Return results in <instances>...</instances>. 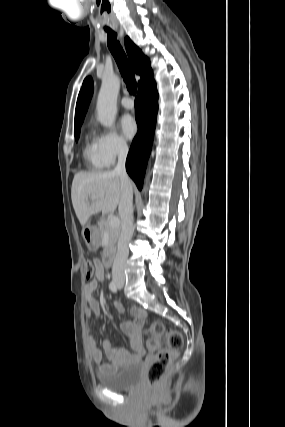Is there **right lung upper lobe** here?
Returning a JSON list of instances; mask_svg holds the SVG:
<instances>
[{
  "instance_id": "1",
  "label": "right lung upper lobe",
  "mask_w": 285,
  "mask_h": 427,
  "mask_svg": "<svg viewBox=\"0 0 285 427\" xmlns=\"http://www.w3.org/2000/svg\"><path fill=\"white\" fill-rule=\"evenodd\" d=\"M125 47L132 67L134 68L136 74L141 76V80L138 82L139 87L145 80L153 76V72L150 67V61L146 56L143 55L141 50L130 40L129 37L125 38ZM92 93L93 81L91 77H87L83 82L77 99L75 128H79L83 122Z\"/></svg>"
}]
</instances>
